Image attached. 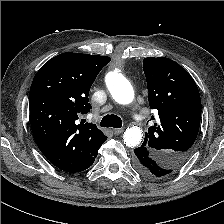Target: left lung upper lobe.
<instances>
[{
	"label": "left lung upper lobe",
	"mask_w": 224,
	"mask_h": 224,
	"mask_svg": "<svg viewBox=\"0 0 224 224\" xmlns=\"http://www.w3.org/2000/svg\"><path fill=\"white\" fill-rule=\"evenodd\" d=\"M148 101L158 111L157 123L145 133L142 147L170 176L185 162L198 135L201 99L190 74L177 62L164 57L143 60ZM154 120V117H151Z\"/></svg>",
	"instance_id": "1"
}]
</instances>
